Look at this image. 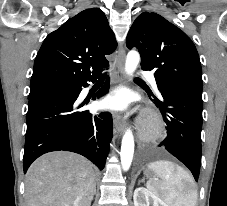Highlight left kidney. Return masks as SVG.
<instances>
[{
	"label": "left kidney",
	"instance_id": "obj_1",
	"mask_svg": "<svg viewBox=\"0 0 227 206\" xmlns=\"http://www.w3.org/2000/svg\"><path fill=\"white\" fill-rule=\"evenodd\" d=\"M134 206H168L162 199L149 189L138 187L134 191Z\"/></svg>",
	"mask_w": 227,
	"mask_h": 206
}]
</instances>
